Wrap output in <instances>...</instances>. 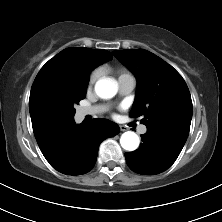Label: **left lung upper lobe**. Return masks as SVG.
Masks as SVG:
<instances>
[{
    "instance_id": "1",
    "label": "left lung upper lobe",
    "mask_w": 222,
    "mask_h": 222,
    "mask_svg": "<svg viewBox=\"0 0 222 222\" xmlns=\"http://www.w3.org/2000/svg\"><path fill=\"white\" fill-rule=\"evenodd\" d=\"M136 76L137 92L131 117L142 116L147 128L178 124L189 133L192 101L182 76L168 63L143 49L113 51Z\"/></svg>"
}]
</instances>
